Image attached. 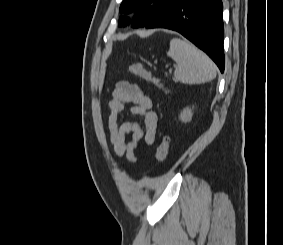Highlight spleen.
Segmentation results:
<instances>
[{"label": "spleen", "mask_w": 283, "mask_h": 245, "mask_svg": "<svg viewBox=\"0 0 283 245\" xmlns=\"http://www.w3.org/2000/svg\"><path fill=\"white\" fill-rule=\"evenodd\" d=\"M167 55L177 63L174 76L181 83H205L217 75V67L213 61L185 40L173 38Z\"/></svg>", "instance_id": "1"}]
</instances>
